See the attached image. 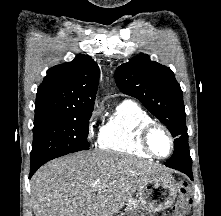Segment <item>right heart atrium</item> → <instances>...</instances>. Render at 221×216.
Returning <instances> with one entry per match:
<instances>
[{
    "instance_id": "right-heart-atrium-1",
    "label": "right heart atrium",
    "mask_w": 221,
    "mask_h": 216,
    "mask_svg": "<svg viewBox=\"0 0 221 216\" xmlns=\"http://www.w3.org/2000/svg\"><path fill=\"white\" fill-rule=\"evenodd\" d=\"M93 135H94L93 127H90V129H89V136H90V138H92Z\"/></svg>"
}]
</instances>
